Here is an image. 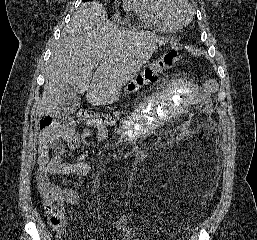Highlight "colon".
Wrapping results in <instances>:
<instances>
[{
	"instance_id": "colon-1",
	"label": "colon",
	"mask_w": 257,
	"mask_h": 240,
	"mask_svg": "<svg viewBox=\"0 0 257 240\" xmlns=\"http://www.w3.org/2000/svg\"><path fill=\"white\" fill-rule=\"evenodd\" d=\"M181 58L182 55L176 51L166 52L160 58L145 66L143 70L127 84V93L138 92L142 87L155 82L163 71L174 66ZM216 90L217 83L215 80L209 79L205 82L204 91L206 93L211 94ZM81 115L85 120L90 122H97L100 119L88 111H82ZM40 127L44 130L59 128L50 117L43 118L40 122ZM42 200L50 223L53 226L61 227L64 218V202L62 197L57 193L48 192L42 195Z\"/></svg>"
}]
</instances>
